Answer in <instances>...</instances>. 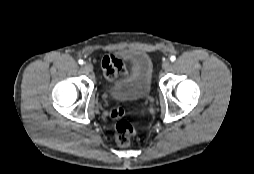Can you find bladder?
<instances>
[{"label": "bladder", "mask_w": 254, "mask_h": 174, "mask_svg": "<svg viewBox=\"0 0 254 174\" xmlns=\"http://www.w3.org/2000/svg\"><path fill=\"white\" fill-rule=\"evenodd\" d=\"M131 67L123 76L108 84V94L119 100L145 99L152 90L153 64L150 56L139 50L127 54Z\"/></svg>", "instance_id": "1"}]
</instances>
